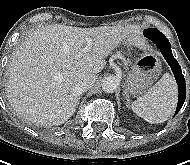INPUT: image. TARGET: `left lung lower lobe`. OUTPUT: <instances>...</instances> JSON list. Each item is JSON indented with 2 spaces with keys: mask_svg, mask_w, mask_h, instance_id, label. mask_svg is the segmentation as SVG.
I'll return each mask as SVG.
<instances>
[{
  "mask_svg": "<svg viewBox=\"0 0 190 165\" xmlns=\"http://www.w3.org/2000/svg\"><path fill=\"white\" fill-rule=\"evenodd\" d=\"M150 40H152L161 50V53L163 54L164 58L170 65L176 82L178 84V91H179V98H178V105L176 109V113L181 109L183 106V103L186 98V84L185 79L181 71V67L178 64L177 60L173 57L172 51H171V45L168 41V39L164 36V34H156L151 37H149Z\"/></svg>",
  "mask_w": 190,
  "mask_h": 165,
  "instance_id": "0a47b994",
  "label": "left lung lower lobe"
}]
</instances>
